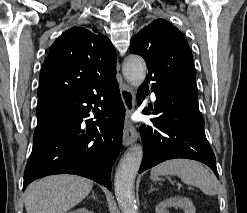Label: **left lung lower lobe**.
<instances>
[{"instance_id":"1","label":"left lung lower lobe","mask_w":247,"mask_h":213,"mask_svg":"<svg viewBox=\"0 0 247 213\" xmlns=\"http://www.w3.org/2000/svg\"><path fill=\"white\" fill-rule=\"evenodd\" d=\"M146 89L147 80L138 90L139 104ZM152 90L156 96L153 114L159 116L151 119L153 127L142 125L140 128L144 155L139 172L165 160L187 158L205 163L218 177L216 159L204 132L198 96L183 87L164 88L152 84ZM142 113L150 114L147 108Z\"/></svg>"}]
</instances>
